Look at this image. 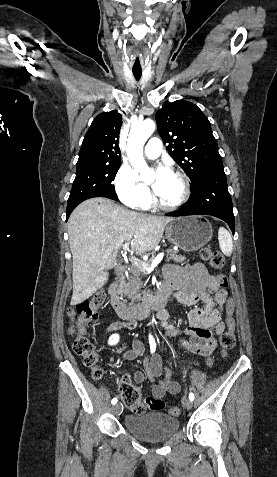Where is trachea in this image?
I'll return each mask as SVG.
<instances>
[{
  "label": "trachea",
  "instance_id": "1",
  "mask_svg": "<svg viewBox=\"0 0 277 477\" xmlns=\"http://www.w3.org/2000/svg\"><path fill=\"white\" fill-rule=\"evenodd\" d=\"M133 75L136 80H139L141 78L142 71H133Z\"/></svg>",
  "mask_w": 277,
  "mask_h": 477
}]
</instances>
